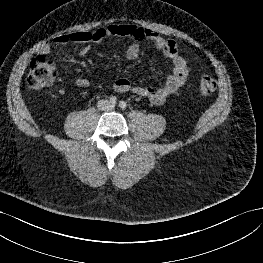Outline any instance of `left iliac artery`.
Wrapping results in <instances>:
<instances>
[{
	"label": "left iliac artery",
	"instance_id": "1",
	"mask_svg": "<svg viewBox=\"0 0 263 263\" xmlns=\"http://www.w3.org/2000/svg\"><path fill=\"white\" fill-rule=\"evenodd\" d=\"M126 106H127V104H126L125 101H120V103H119V107H120L121 109H125Z\"/></svg>",
	"mask_w": 263,
	"mask_h": 263
}]
</instances>
